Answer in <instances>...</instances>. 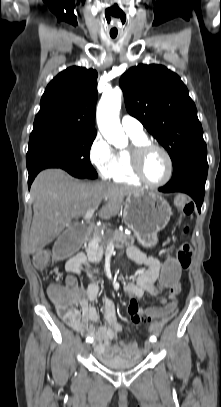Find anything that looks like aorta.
Wrapping results in <instances>:
<instances>
[{
	"label": "aorta",
	"instance_id": "aorta-1",
	"mask_svg": "<svg viewBox=\"0 0 221 407\" xmlns=\"http://www.w3.org/2000/svg\"><path fill=\"white\" fill-rule=\"evenodd\" d=\"M122 91L113 89L104 92L97 107V124L100 132L108 143L121 146L126 142V136L119 120Z\"/></svg>",
	"mask_w": 221,
	"mask_h": 407
}]
</instances>
